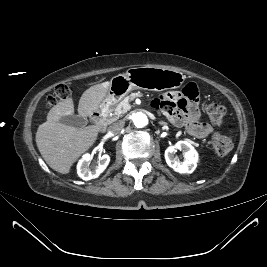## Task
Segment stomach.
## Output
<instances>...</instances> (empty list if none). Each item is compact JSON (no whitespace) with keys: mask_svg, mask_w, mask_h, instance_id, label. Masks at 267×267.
<instances>
[{"mask_svg":"<svg viewBox=\"0 0 267 267\" xmlns=\"http://www.w3.org/2000/svg\"><path fill=\"white\" fill-rule=\"evenodd\" d=\"M185 78L182 72L171 69L147 66L130 68L125 74L111 79L107 94L98 108L102 111L111 108L135 89L163 91L179 88Z\"/></svg>","mask_w":267,"mask_h":267,"instance_id":"0dacf381","label":"stomach"}]
</instances>
